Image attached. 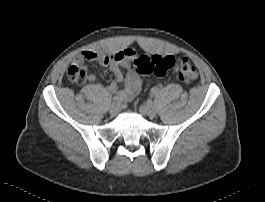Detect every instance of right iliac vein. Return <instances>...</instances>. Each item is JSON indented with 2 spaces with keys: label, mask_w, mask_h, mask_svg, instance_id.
<instances>
[{
  "label": "right iliac vein",
  "mask_w": 265,
  "mask_h": 202,
  "mask_svg": "<svg viewBox=\"0 0 265 202\" xmlns=\"http://www.w3.org/2000/svg\"><path fill=\"white\" fill-rule=\"evenodd\" d=\"M119 105L118 104H113L110 107L109 113L112 117L116 116L119 112Z\"/></svg>",
  "instance_id": "63e3f726"
}]
</instances>
